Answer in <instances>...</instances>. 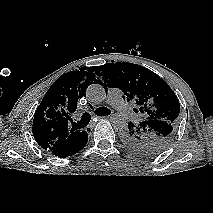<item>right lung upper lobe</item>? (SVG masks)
<instances>
[{
  "instance_id": "1",
  "label": "right lung upper lobe",
  "mask_w": 213,
  "mask_h": 213,
  "mask_svg": "<svg viewBox=\"0 0 213 213\" xmlns=\"http://www.w3.org/2000/svg\"><path fill=\"white\" fill-rule=\"evenodd\" d=\"M94 68L71 71L59 77L46 92L33 120V135L43 149L52 152L64 148L78 139L82 133L68 126L71 114L77 109V101L87 87L95 81Z\"/></svg>"
}]
</instances>
